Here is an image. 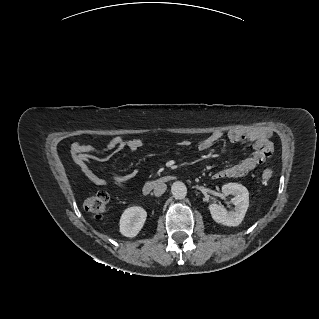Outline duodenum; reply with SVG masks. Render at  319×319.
Here are the masks:
<instances>
[{
    "label": "duodenum",
    "mask_w": 319,
    "mask_h": 319,
    "mask_svg": "<svg viewBox=\"0 0 319 319\" xmlns=\"http://www.w3.org/2000/svg\"><path fill=\"white\" fill-rule=\"evenodd\" d=\"M171 180V177H162L159 179L149 180L143 186V193L145 195L149 194L157 185L165 183Z\"/></svg>",
    "instance_id": "410a0bca"
}]
</instances>
